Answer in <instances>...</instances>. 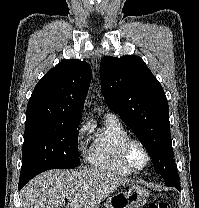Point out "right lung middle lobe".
I'll return each instance as SVG.
<instances>
[{
    "instance_id": "right-lung-middle-lobe-1",
    "label": "right lung middle lobe",
    "mask_w": 199,
    "mask_h": 208,
    "mask_svg": "<svg viewBox=\"0 0 199 208\" xmlns=\"http://www.w3.org/2000/svg\"><path fill=\"white\" fill-rule=\"evenodd\" d=\"M77 121L26 118L20 178L30 180L53 168L79 165Z\"/></svg>"
}]
</instances>
